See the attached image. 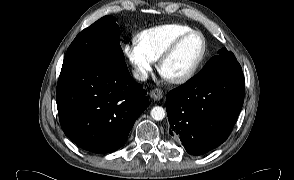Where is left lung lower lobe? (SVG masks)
I'll return each mask as SVG.
<instances>
[{
    "label": "left lung lower lobe",
    "mask_w": 294,
    "mask_h": 180,
    "mask_svg": "<svg viewBox=\"0 0 294 180\" xmlns=\"http://www.w3.org/2000/svg\"><path fill=\"white\" fill-rule=\"evenodd\" d=\"M242 71L223 72L171 90L166 109L171 137L191 155H202L229 136L244 102Z\"/></svg>",
    "instance_id": "1"
}]
</instances>
